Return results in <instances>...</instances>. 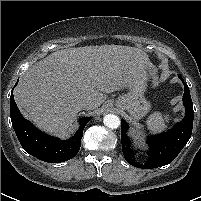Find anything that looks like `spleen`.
<instances>
[{
  "mask_svg": "<svg viewBox=\"0 0 201 201\" xmlns=\"http://www.w3.org/2000/svg\"><path fill=\"white\" fill-rule=\"evenodd\" d=\"M169 121H170V116L168 114L154 112L148 117L146 124L150 132L159 133L166 129L167 123Z\"/></svg>",
  "mask_w": 201,
  "mask_h": 201,
  "instance_id": "spleen-1",
  "label": "spleen"
}]
</instances>
